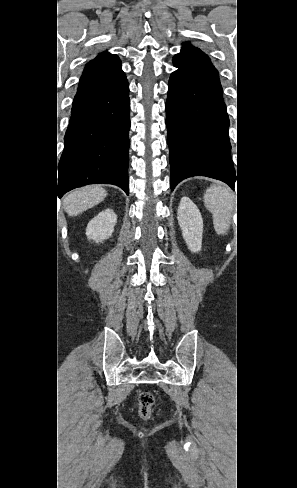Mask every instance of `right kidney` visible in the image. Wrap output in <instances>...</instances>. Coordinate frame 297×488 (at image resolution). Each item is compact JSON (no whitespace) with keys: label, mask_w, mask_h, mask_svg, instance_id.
<instances>
[{"label":"right kidney","mask_w":297,"mask_h":488,"mask_svg":"<svg viewBox=\"0 0 297 488\" xmlns=\"http://www.w3.org/2000/svg\"><path fill=\"white\" fill-rule=\"evenodd\" d=\"M117 216L111 209H106L95 216L87 225L86 236L96 243L108 239L114 232Z\"/></svg>","instance_id":"obj_1"}]
</instances>
